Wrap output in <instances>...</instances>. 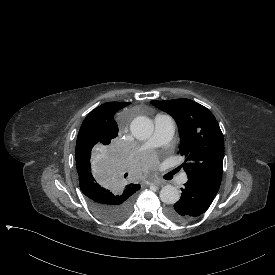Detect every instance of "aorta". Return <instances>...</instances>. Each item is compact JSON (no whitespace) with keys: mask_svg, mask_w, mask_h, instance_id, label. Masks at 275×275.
<instances>
[{"mask_svg":"<svg viewBox=\"0 0 275 275\" xmlns=\"http://www.w3.org/2000/svg\"><path fill=\"white\" fill-rule=\"evenodd\" d=\"M130 128L137 140H147L154 132V123L148 117L139 116L131 122ZM160 199L165 204H175L180 199V192L176 187L166 185L160 191Z\"/></svg>","mask_w":275,"mask_h":275,"instance_id":"obj_1","label":"aorta"}]
</instances>
